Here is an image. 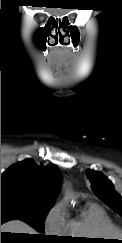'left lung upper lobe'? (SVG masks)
I'll return each mask as SVG.
<instances>
[{
	"label": "left lung upper lobe",
	"mask_w": 122,
	"mask_h": 243,
	"mask_svg": "<svg viewBox=\"0 0 122 243\" xmlns=\"http://www.w3.org/2000/svg\"><path fill=\"white\" fill-rule=\"evenodd\" d=\"M86 175L96 196L122 216V198L115 191L113 184L98 171L87 170Z\"/></svg>",
	"instance_id": "left-lung-upper-lobe-1"
}]
</instances>
